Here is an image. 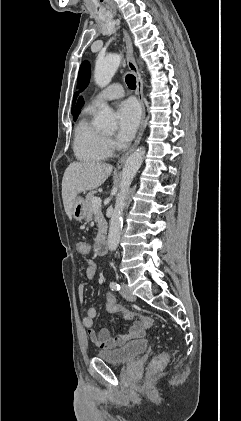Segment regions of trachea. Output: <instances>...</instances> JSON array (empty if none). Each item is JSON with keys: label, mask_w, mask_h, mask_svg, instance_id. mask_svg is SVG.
<instances>
[{"label": "trachea", "mask_w": 241, "mask_h": 421, "mask_svg": "<svg viewBox=\"0 0 241 421\" xmlns=\"http://www.w3.org/2000/svg\"><path fill=\"white\" fill-rule=\"evenodd\" d=\"M126 83H127V86L130 89H135L136 88V78H135V76L132 75V74H128L126 76Z\"/></svg>", "instance_id": "3493384b"}]
</instances>
